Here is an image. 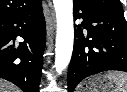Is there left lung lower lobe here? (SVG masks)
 I'll use <instances>...</instances> for the list:
<instances>
[{"mask_svg":"<svg viewBox=\"0 0 127 92\" xmlns=\"http://www.w3.org/2000/svg\"><path fill=\"white\" fill-rule=\"evenodd\" d=\"M74 48L68 69V92L93 74L127 72V22L124 15L102 12L74 3Z\"/></svg>","mask_w":127,"mask_h":92,"instance_id":"0a47b994","label":"left lung lower lobe"}]
</instances>
